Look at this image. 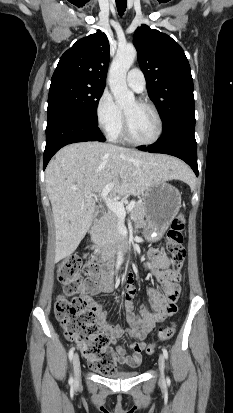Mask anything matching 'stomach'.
Here are the masks:
<instances>
[{
	"label": "stomach",
	"mask_w": 233,
	"mask_h": 413,
	"mask_svg": "<svg viewBox=\"0 0 233 413\" xmlns=\"http://www.w3.org/2000/svg\"><path fill=\"white\" fill-rule=\"evenodd\" d=\"M142 204L148 222L145 233L159 239L177 216L181 207V195L174 186L162 181L145 191Z\"/></svg>",
	"instance_id": "0dacf381"
}]
</instances>
